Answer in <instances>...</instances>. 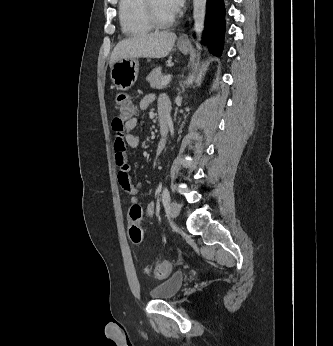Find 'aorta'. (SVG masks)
I'll return each mask as SVG.
<instances>
[{
    "mask_svg": "<svg viewBox=\"0 0 333 346\" xmlns=\"http://www.w3.org/2000/svg\"><path fill=\"white\" fill-rule=\"evenodd\" d=\"M205 10H206V0H193V18L195 23V32L197 35L196 39V47L198 50L201 49V34L204 28V18H205ZM194 76H190L188 79V83H192Z\"/></svg>",
    "mask_w": 333,
    "mask_h": 346,
    "instance_id": "762f6f07",
    "label": "aorta"
}]
</instances>
